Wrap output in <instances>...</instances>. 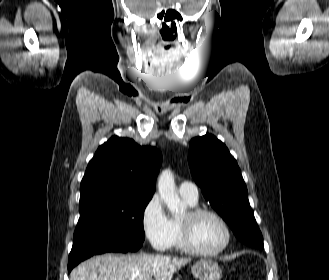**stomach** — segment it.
<instances>
[{
    "label": "stomach",
    "instance_id": "stomach-1",
    "mask_svg": "<svg viewBox=\"0 0 329 280\" xmlns=\"http://www.w3.org/2000/svg\"><path fill=\"white\" fill-rule=\"evenodd\" d=\"M192 273L198 280H220L222 275L218 264L211 260H201L195 263Z\"/></svg>",
    "mask_w": 329,
    "mask_h": 280
}]
</instances>
